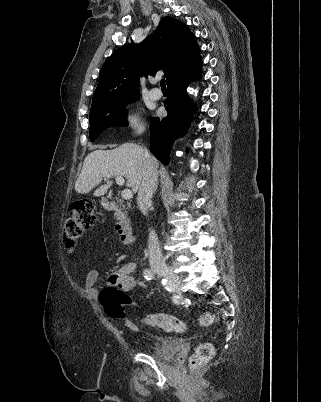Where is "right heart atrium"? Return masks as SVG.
<instances>
[{
  "instance_id": "1",
  "label": "right heart atrium",
  "mask_w": 321,
  "mask_h": 402,
  "mask_svg": "<svg viewBox=\"0 0 321 402\" xmlns=\"http://www.w3.org/2000/svg\"><path fill=\"white\" fill-rule=\"evenodd\" d=\"M125 123L134 132L140 133L143 130V124L137 114L133 111H127L124 115Z\"/></svg>"
}]
</instances>
